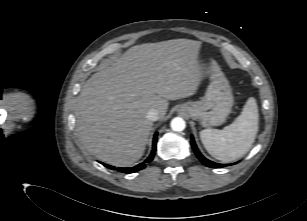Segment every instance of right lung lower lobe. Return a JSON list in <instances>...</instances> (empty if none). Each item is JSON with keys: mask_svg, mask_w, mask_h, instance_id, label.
Returning <instances> with one entry per match:
<instances>
[{"mask_svg": "<svg viewBox=\"0 0 307 221\" xmlns=\"http://www.w3.org/2000/svg\"><path fill=\"white\" fill-rule=\"evenodd\" d=\"M156 143H157V133H155L154 138H153V149H152V152H151L150 156L143 163H140L139 165H137L135 167H130V168H117V171L123 172V173H134L136 171H139V170L145 168L146 163L151 162L153 157H154V155H155ZM102 164L105 167L109 168V169L115 170L114 166H110V165H107V164H104V163H102Z\"/></svg>", "mask_w": 307, "mask_h": 221, "instance_id": "right-lung-lower-lobe-1", "label": "right lung lower lobe"}]
</instances>
